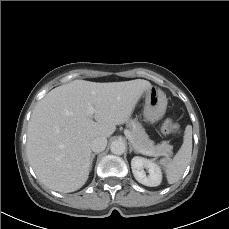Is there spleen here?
<instances>
[{"mask_svg": "<svg viewBox=\"0 0 229 229\" xmlns=\"http://www.w3.org/2000/svg\"><path fill=\"white\" fill-rule=\"evenodd\" d=\"M192 154V128L187 126L184 133L183 144L172 160L161 159L159 164L163 166L167 181L174 184L182 177Z\"/></svg>", "mask_w": 229, "mask_h": 229, "instance_id": "spleen-1", "label": "spleen"}]
</instances>
